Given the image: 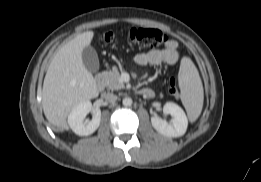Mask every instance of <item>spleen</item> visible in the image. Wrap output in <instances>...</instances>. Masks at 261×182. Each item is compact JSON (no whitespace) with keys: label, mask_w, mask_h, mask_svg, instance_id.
<instances>
[{"label":"spleen","mask_w":261,"mask_h":182,"mask_svg":"<svg viewBox=\"0 0 261 182\" xmlns=\"http://www.w3.org/2000/svg\"><path fill=\"white\" fill-rule=\"evenodd\" d=\"M178 81L181 90V101L189 120L194 122L202 111L204 91L198 70L188 57H183L181 60Z\"/></svg>","instance_id":"spleen-1"}]
</instances>
